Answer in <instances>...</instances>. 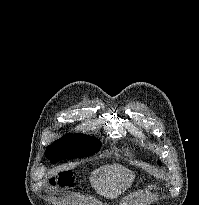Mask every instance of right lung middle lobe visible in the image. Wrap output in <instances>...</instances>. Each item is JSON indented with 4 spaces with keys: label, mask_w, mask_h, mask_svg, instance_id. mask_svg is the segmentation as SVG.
Returning a JSON list of instances; mask_svg holds the SVG:
<instances>
[{
    "label": "right lung middle lobe",
    "mask_w": 199,
    "mask_h": 205,
    "mask_svg": "<svg viewBox=\"0 0 199 205\" xmlns=\"http://www.w3.org/2000/svg\"><path fill=\"white\" fill-rule=\"evenodd\" d=\"M101 142L94 136L66 134L46 148L45 156L55 164L62 160L86 157L100 150Z\"/></svg>",
    "instance_id": "right-lung-middle-lobe-1"
}]
</instances>
